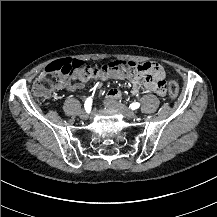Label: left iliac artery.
Instances as JSON below:
<instances>
[{"instance_id":"44dca946","label":"left iliac artery","mask_w":217,"mask_h":217,"mask_svg":"<svg viewBox=\"0 0 217 217\" xmlns=\"http://www.w3.org/2000/svg\"><path fill=\"white\" fill-rule=\"evenodd\" d=\"M139 107H140V103H138V102H135V103L130 104V108H131L132 110H135V109H137V108H139Z\"/></svg>"}]
</instances>
